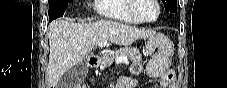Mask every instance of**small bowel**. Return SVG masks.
Returning <instances> with one entry per match:
<instances>
[{
  "instance_id": "1",
  "label": "small bowel",
  "mask_w": 227,
  "mask_h": 88,
  "mask_svg": "<svg viewBox=\"0 0 227 88\" xmlns=\"http://www.w3.org/2000/svg\"><path fill=\"white\" fill-rule=\"evenodd\" d=\"M136 82L131 78H122L118 84V88H132L134 87ZM161 87H169L176 88V84L174 81L173 74L171 72H167L161 78Z\"/></svg>"
}]
</instances>
